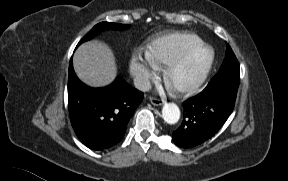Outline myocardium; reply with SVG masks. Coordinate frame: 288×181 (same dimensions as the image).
<instances>
[{
  "label": "myocardium",
  "mask_w": 288,
  "mask_h": 181,
  "mask_svg": "<svg viewBox=\"0 0 288 181\" xmlns=\"http://www.w3.org/2000/svg\"><path fill=\"white\" fill-rule=\"evenodd\" d=\"M206 54V61L199 72L189 78L180 79L179 76L184 68L197 56ZM216 58L214 48L209 44H201L198 47L190 49L183 53L176 60L168 64L164 71L163 77L166 84L174 91L188 93L198 89L209 76Z\"/></svg>",
  "instance_id": "myocardium-1"
}]
</instances>
